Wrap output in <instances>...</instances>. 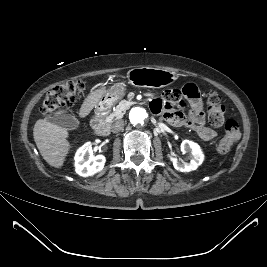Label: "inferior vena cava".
<instances>
[{
	"mask_svg": "<svg viewBox=\"0 0 267 267\" xmlns=\"http://www.w3.org/2000/svg\"><path fill=\"white\" fill-rule=\"evenodd\" d=\"M123 127H124V121L123 120H117L116 122H114L112 125H111V131L113 133H118L120 132L121 130H123Z\"/></svg>",
	"mask_w": 267,
	"mask_h": 267,
	"instance_id": "inferior-vena-cava-1",
	"label": "inferior vena cava"
}]
</instances>
